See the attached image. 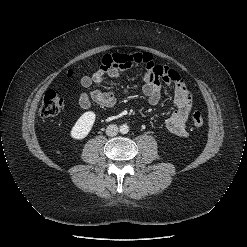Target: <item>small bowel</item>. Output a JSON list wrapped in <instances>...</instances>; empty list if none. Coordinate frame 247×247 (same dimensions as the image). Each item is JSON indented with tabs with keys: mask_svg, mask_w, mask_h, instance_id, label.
<instances>
[{
	"mask_svg": "<svg viewBox=\"0 0 247 247\" xmlns=\"http://www.w3.org/2000/svg\"><path fill=\"white\" fill-rule=\"evenodd\" d=\"M136 66H144L141 92L148 99L150 105H156L161 99V82L174 88V104L176 109L165 120L167 130L178 136H187V120L192 106V95L189 87L181 75L168 66L157 63L148 52L134 54H107L102 59L100 67L92 74L81 78V85L86 89L78 99L82 109H88L92 102L106 108L116 103V96L111 91L93 89V84H101L106 78L119 80L124 71Z\"/></svg>",
	"mask_w": 247,
	"mask_h": 247,
	"instance_id": "c3829d8e",
	"label": "small bowel"
}]
</instances>
